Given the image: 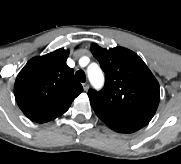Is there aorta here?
<instances>
[{
	"label": "aorta",
	"mask_w": 181,
	"mask_h": 164,
	"mask_svg": "<svg viewBox=\"0 0 181 164\" xmlns=\"http://www.w3.org/2000/svg\"><path fill=\"white\" fill-rule=\"evenodd\" d=\"M88 77L91 83L97 87L102 85L104 80L103 73L97 65H95L93 69L92 68L88 69Z\"/></svg>",
	"instance_id": "762f6f07"
}]
</instances>
